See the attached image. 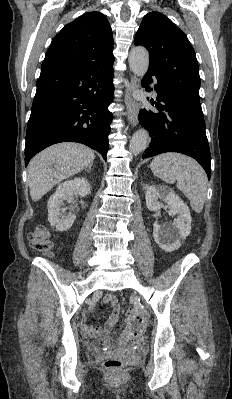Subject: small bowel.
<instances>
[{
	"mask_svg": "<svg viewBox=\"0 0 232 399\" xmlns=\"http://www.w3.org/2000/svg\"><path fill=\"white\" fill-rule=\"evenodd\" d=\"M103 301L109 304H115L117 302V296L115 294H106L103 297ZM120 315L119 307L115 306L112 311V315L110 320L102 326H91L85 322L78 321L75 326L77 329L82 330L87 333H106L113 329L115 322L117 321Z\"/></svg>",
	"mask_w": 232,
	"mask_h": 399,
	"instance_id": "1",
	"label": "small bowel"
}]
</instances>
